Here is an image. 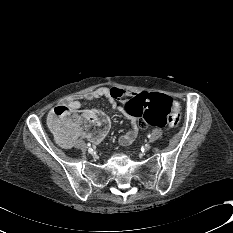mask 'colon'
<instances>
[{
	"label": "colon",
	"instance_id": "5ec220e1",
	"mask_svg": "<svg viewBox=\"0 0 233 233\" xmlns=\"http://www.w3.org/2000/svg\"><path fill=\"white\" fill-rule=\"evenodd\" d=\"M120 111L126 117L139 118L138 127L149 126L175 128L181 120L179 105L169 96L160 93L141 92L124 99ZM71 110L66 105L56 106L48 118L49 126L56 136L78 131L91 134L103 132L108 126V118L92 111L80 112L73 122L67 123Z\"/></svg>",
	"mask_w": 233,
	"mask_h": 233
}]
</instances>
